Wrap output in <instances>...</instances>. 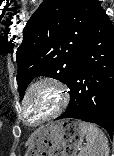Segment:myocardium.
<instances>
[{
  "instance_id": "1",
  "label": "myocardium",
  "mask_w": 114,
  "mask_h": 156,
  "mask_svg": "<svg viewBox=\"0 0 114 156\" xmlns=\"http://www.w3.org/2000/svg\"><path fill=\"white\" fill-rule=\"evenodd\" d=\"M40 87L50 88L56 96V104L52 111L48 114L36 119L31 120L28 114V102L32 94ZM69 92L67 87L57 78L51 76H43L33 81L25 90L21 98V114L23 121L31 127L37 126L43 122L53 119L60 115L69 103Z\"/></svg>"
}]
</instances>
